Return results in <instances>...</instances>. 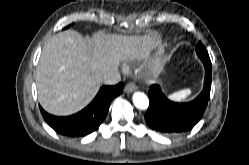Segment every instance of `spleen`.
<instances>
[{
	"label": "spleen",
	"mask_w": 249,
	"mask_h": 165,
	"mask_svg": "<svg viewBox=\"0 0 249 165\" xmlns=\"http://www.w3.org/2000/svg\"><path fill=\"white\" fill-rule=\"evenodd\" d=\"M191 93V89H183L181 91L169 95L168 98L174 102H185Z\"/></svg>",
	"instance_id": "spleen-1"
}]
</instances>
